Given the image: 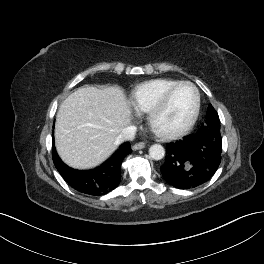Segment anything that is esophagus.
<instances>
[{
  "mask_svg": "<svg viewBox=\"0 0 264 264\" xmlns=\"http://www.w3.org/2000/svg\"><path fill=\"white\" fill-rule=\"evenodd\" d=\"M145 146H146L145 143H143V142H138V143H136V144H134V145L132 146V149H133V150H140V149L145 148Z\"/></svg>",
  "mask_w": 264,
  "mask_h": 264,
  "instance_id": "esophagus-1",
  "label": "esophagus"
}]
</instances>
